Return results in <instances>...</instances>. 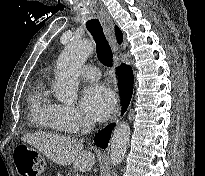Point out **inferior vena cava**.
<instances>
[{
  "mask_svg": "<svg viewBox=\"0 0 205 176\" xmlns=\"http://www.w3.org/2000/svg\"><path fill=\"white\" fill-rule=\"evenodd\" d=\"M94 123L92 121H90L89 119H85L83 122V128H82V132L83 133H88L92 130Z\"/></svg>",
  "mask_w": 205,
  "mask_h": 176,
  "instance_id": "obj_1",
  "label": "inferior vena cava"
}]
</instances>
